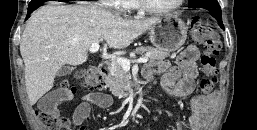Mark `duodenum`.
<instances>
[{
  "mask_svg": "<svg viewBox=\"0 0 257 130\" xmlns=\"http://www.w3.org/2000/svg\"><path fill=\"white\" fill-rule=\"evenodd\" d=\"M99 74L101 75V77L105 78L109 75L110 73V65L107 62H104L102 64L99 65Z\"/></svg>",
  "mask_w": 257,
  "mask_h": 130,
  "instance_id": "obj_1",
  "label": "duodenum"
}]
</instances>
